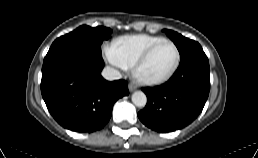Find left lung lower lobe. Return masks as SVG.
Returning a JSON list of instances; mask_svg holds the SVG:
<instances>
[{"label": "left lung lower lobe", "mask_w": 258, "mask_h": 158, "mask_svg": "<svg viewBox=\"0 0 258 158\" xmlns=\"http://www.w3.org/2000/svg\"><path fill=\"white\" fill-rule=\"evenodd\" d=\"M210 69L200 44L181 57L168 82L144 88L147 104L138 113L143 124L158 132H172L190 124L203 110L210 91Z\"/></svg>", "instance_id": "obj_1"}]
</instances>
